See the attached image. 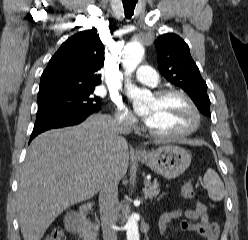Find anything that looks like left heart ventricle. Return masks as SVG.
<instances>
[{"mask_svg": "<svg viewBox=\"0 0 248 240\" xmlns=\"http://www.w3.org/2000/svg\"><path fill=\"white\" fill-rule=\"evenodd\" d=\"M144 114L150 118L147 125L159 132L185 130L194 120L187 102L178 95H168L160 99L154 96L145 107Z\"/></svg>", "mask_w": 248, "mask_h": 240, "instance_id": "1", "label": "left heart ventricle"}]
</instances>
